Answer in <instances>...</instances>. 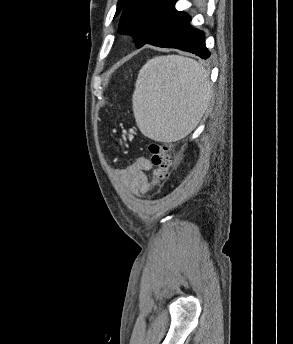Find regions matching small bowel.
Masks as SVG:
<instances>
[{"label":"small bowel","instance_id":"1","mask_svg":"<svg viewBox=\"0 0 293 344\" xmlns=\"http://www.w3.org/2000/svg\"><path fill=\"white\" fill-rule=\"evenodd\" d=\"M150 161L145 157L137 158L130 166L121 172L125 188L136 196L143 195L147 190L146 172L151 169Z\"/></svg>","mask_w":293,"mask_h":344}]
</instances>
